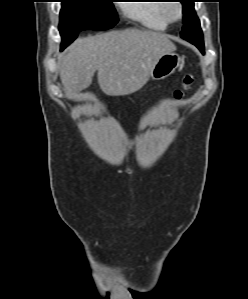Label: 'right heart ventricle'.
Instances as JSON below:
<instances>
[{"label":"right heart ventricle","instance_id":"right-heart-ventricle-1","mask_svg":"<svg viewBox=\"0 0 248 299\" xmlns=\"http://www.w3.org/2000/svg\"><path fill=\"white\" fill-rule=\"evenodd\" d=\"M163 4L160 0H144L141 3H131L124 6V13L145 27L166 30L169 23L164 19L161 12Z\"/></svg>","mask_w":248,"mask_h":299}]
</instances>
